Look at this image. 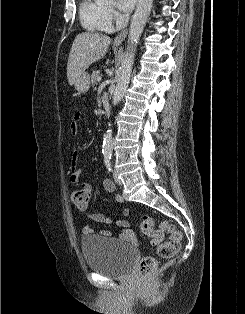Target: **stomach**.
Returning a JSON list of instances; mask_svg holds the SVG:
<instances>
[{"label":"stomach","mask_w":245,"mask_h":314,"mask_svg":"<svg viewBox=\"0 0 245 314\" xmlns=\"http://www.w3.org/2000/svg\"><path fill=\"white\" fill-rule=\"evenodd\" d=\"M75 89L78 93L84 94L90 87V76L88 73H82L74 83Z\"/></svg>","instance_id":"obj_1"}]
</instances>
